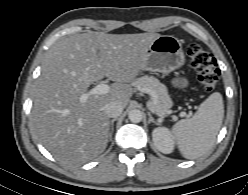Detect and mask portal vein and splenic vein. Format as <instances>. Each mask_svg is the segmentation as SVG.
Segmentation results:
<instances>
[{
  "label": "portal vein and splenic vein",
  "mask_w": 248,
  "mask_h": 195,
  "mask_svg": "<svg viewBox=\"0 0 248 195\" xmlns=\"http://www.w3.org/2000/svg\"><path fill=\"white\" fill-rule=\"evenodd\" d=\"M110 91V86L107 84H98L94 88L90 89L86 93H83L80 97L81 101H86L90 96L107 94ZM186 113H182L181 116H185Z\"/></svg>",
  "instance_id": "obj_1"
}]
</instances>
